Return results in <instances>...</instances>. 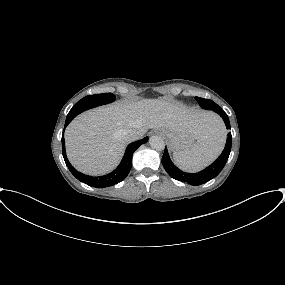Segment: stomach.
<instances>
[{"label": "stomach", "instance_id": "1", "mask_svg": "<svg viewBox=\"0 0 285 285\" xmlns=\"http://www.w3.org/2000/svg\"><path fill=\"white\" fill-rule=\"evenodd\" d=\"M173 151H186L195 144V138L188 133H176L167 130L161 131Z\"/></svg>", "mask_w": 285, "mask_h": 285}]
</instances>
